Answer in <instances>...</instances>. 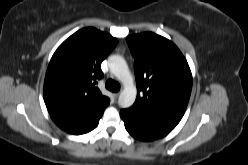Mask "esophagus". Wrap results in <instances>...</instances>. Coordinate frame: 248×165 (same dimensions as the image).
<instances>
[{
  "instance_id": "esophagus-1",
  "label": "esophagus",
  "mask_w": 248,
  "mask_h": 165,
  "mask_svg": "<svg viewBox=\"0 0 248 165\" xmlns=\"http://www.w3.org/2000/svg\"><path fill=\"white\" fill-rule=\"evenodd\" d=\"M119 95H120V92L115 93L114 94L115 99H117L119 97Z\"/></svg>"
}]
</instances>
